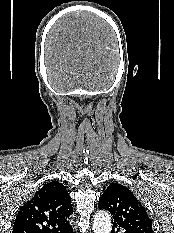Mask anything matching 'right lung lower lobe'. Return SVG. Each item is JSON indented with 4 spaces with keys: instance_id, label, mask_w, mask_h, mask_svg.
<instances>
[{
    "instance_id": "right-lung-lower-lobe-1",
    "label": "right lung lower lobe",
    "mask_w": 174,
    "mask_h": 233,
    "mask_svg": "<svg viewBox=\"0 0 174 233\" xmlns=\"http://www.w3.org/2000/svg\"><path fill=\"white\" fill-rule=\"evenodd\" d=\"M68 233H73V229L71 228V230Z\"/></svg>"
}]
</instances>
